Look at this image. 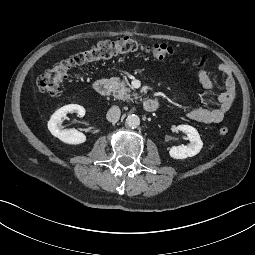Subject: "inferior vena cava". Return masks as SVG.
I'll return each mask as SVG.
<instances>
[{
	"label": "inferior vena cava",
	"mask_w": 255,
	"mask_h": 255,
	"mask_svg": "<svg viewBox=\"0 0 255 255\" xmlns=\"http://www.w3.org/2000/svg\"><path fill=\"white\" fill-rule=\"evenodd\" d=\"M120 109L118 106H112L107 112L106 118L109 122H117L120 118Z\"/></svg>",
	"instance_id": "inferior-vena-cava-1"
}]
</instances>
